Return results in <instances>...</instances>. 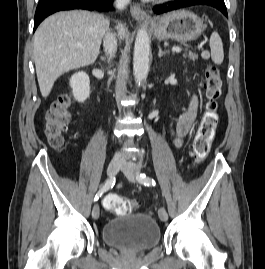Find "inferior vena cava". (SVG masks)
<instances>
[{
    "mask_svg": "<svg viewBox=\"0 0 265 269\" xmlns=\"http://www.w3.org/2000/svg\"><path fill=\"white\" fill-rule=\"evenodd\" d=\"M130 0H116L115 5L119 10H123ZM103 46L104 50L107 53L110 58H112L117 51V40L113 33L107 29V32L105 34L104 40H103ZM121 158V155L119 153L115 154L114 160H119Z\"/></svg>",
    "mask_w": 265,
    "mask_h": 269,
    "instance_id": "obj_1",
    "label": "inferior vena cava"
}]
</instances>
